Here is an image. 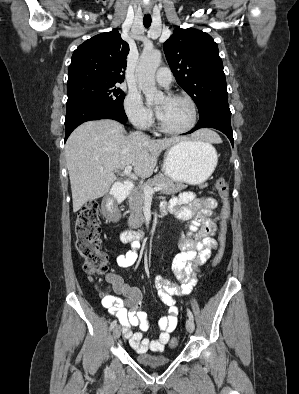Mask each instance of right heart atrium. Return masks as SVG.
<instances>
[{
    "mask_svg": "<svg viewBox=\"0 0 299 394\" xmlns=\"http://www.w3.org/2000/svg\"><path fill=\"white\" fill-rule=\"evenodd\" d=\"M124 107L129 121L140 129L150 127L153 122L152 112L143 104L140 95L131 91L125 98Z\"/></svg>",
    "mask_w": 299,
    "mask_h": 394,
    "instance_id": "d8ad5b80",
    "label": "right heart atrium"
}]
</instances>
